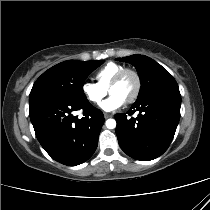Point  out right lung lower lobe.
<instances>
[{
    "label": "right lung lower lobe",
    "mask_w": 210,
    "mask_h": 210,
    "mask_svg": "<svg viewBox=\"0 0 210 210\" xmlns=\"http://www.w3.org/2000/svg\"><path fill=\"white\" fill-rule=\"evenodd\" d=\"M83 110L81 119L72 112ZM36 137L54 160L68 166L87 161L95 152L103 113L88 100L45 97L29 102Z\"/></svg>",
    "instance_id": "1"
}]
</instances>
